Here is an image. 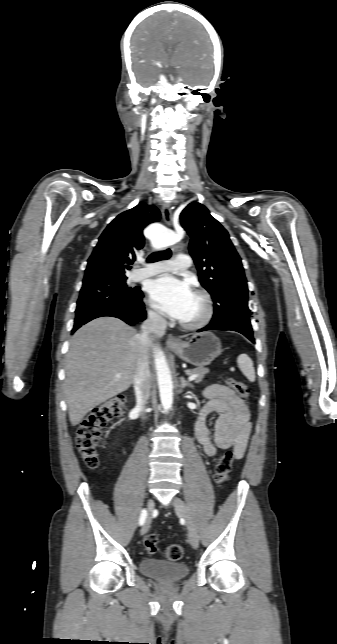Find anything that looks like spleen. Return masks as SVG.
Returning a JSON list of instances; mask_svg holds the SVG:
<instances>
[{
	"instance_id": "1",
	"label": "spleen",
	"mask_w": 337,
	"mask_h": 644,
	"mask_svg": "<svg viewBox=\"0 0 337 644\" xmlns=\"http://www.w3.org/2000/svg\"><path fill=\"white\" fill-rule=\"evenodd\" d=\"M237 364L240 369V371L243 373V375L250 381L254 382L255 381V369L253 366V361L247 354H240L237 357Z\"/></svg>"
}]
</instances>
